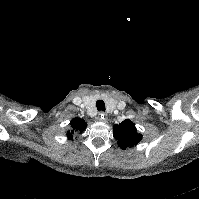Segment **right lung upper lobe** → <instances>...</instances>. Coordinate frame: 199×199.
<instances>
[{
	"label": "right lung upper lobe",
	"instance_id": "cb5924a9",
	"mask_svg": "<svg viewBox=\"0 0 199 199\" xmlns=\"http://www.w3.org/2000/svg\"><path fill=\"white\" fill-rule=\"evenodd\" d=\"M70 125L72 127V130L67 133L68 139L70 140L73 139L72 134H74V132L77 131V132L82 133L87 127V124L85 123V121L79 118H75L71 120Z\"/></svg>",
	"mask_w": 199,
	"mask_h": 199
}]
</instances>
